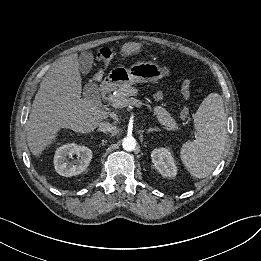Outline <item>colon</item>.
<instances>
[{
	"mask_svg": "<svg viewBox=\"0 0 261 261\" xmlns=\"http://www.w3.org/2000/svg\"><path fill=\"white\" fill-rule=\"evenodd\" d=\"M99 58L103 61H108L111 58V52L108 49H104L100 52ZM182 94H183V96H189V83L183 82V84H182ZM183 113H184V111L182 110L181 115Z\"/></svg>",
	"mask_w": 261,
	"mask_h": 261,
	"instance_id": "1",
	"label": "colon"
}]
</instances>
